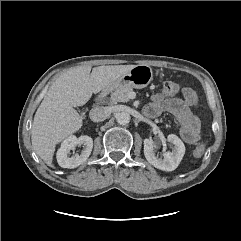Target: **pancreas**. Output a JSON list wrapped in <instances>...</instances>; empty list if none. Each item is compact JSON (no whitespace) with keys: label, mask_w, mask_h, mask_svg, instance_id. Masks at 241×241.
I'll list each match as a JSON object with an SVG mask.
<instances>
[{"label":"pancreas","mask_w":241,"mask_h":241,"mask_svg":"<svg viewBox=\"0 0 241 241\" xmlns=\"http://www.w3.org/2000/svg\"><path fill=\"white\" fill-rule=\"evenodd\" d=\"M132 91L133 88L130 86L118 88L117 90L111 93L110 99L114 104L117 102H128L130 100L129 94Z\"/></svg>","instance_id":"cf45deb5"}]
</instances>
